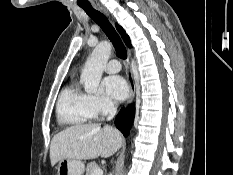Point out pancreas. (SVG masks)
Masks as SVG:
<instances>
[{
    "label": "pancreas",
    "mask_w": 233,
    "mask_h": 175,
    "mask_svg": "<svg viewBox=\"0 0 233 175\" xmlns=\"http://www.w3.org/2000/svg\"><path fill=\"white\" fill-rule=\"evenodd\" d=\"M99 168L98 165L94 162L87 164L86 175H92L94 170Z\"/></svg>",
    "instance_id": "1"
}]
</instances>
